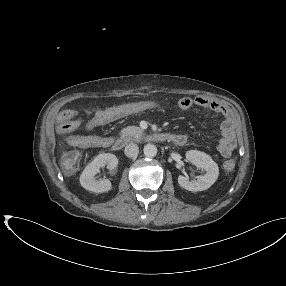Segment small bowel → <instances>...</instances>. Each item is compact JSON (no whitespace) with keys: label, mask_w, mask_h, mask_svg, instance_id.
<instances>
[{"label":"small bowel","mask_w":286,"mask_h":286,"mask_svg":"<svg viewBox=\"0 0 286 286\" xmlns=\"http://www.w3.org/2000/svg\"><path fill=\"white\" fill-rule=\"evenodd\" d=\"M156 106L157 105L154 102L144 101L114 106L105 110H95L91 107H85L83 111L90 117L85 127L86 129L91 130L121 117L147 109H152ZM193 106L208 109L223 117L224 120L221 125L222 138L217 148L223 157H230L236 147V132L235 123L228 107L224 104L202 96L194 98L183 97L178 101V107L182 110H187ZM106 110H113V113L110 117H105L103 115ZM57 121L59 124V134L71 146L81 149L92 147L106 148L111 145L113 140V138L110 136L72 134V132L80 125V120L77 114L73 111H60L57 116Z\"/></svg>","instance_id":"1"}]
</instances>
